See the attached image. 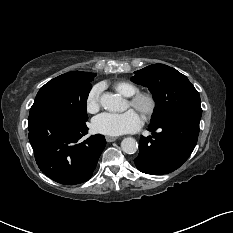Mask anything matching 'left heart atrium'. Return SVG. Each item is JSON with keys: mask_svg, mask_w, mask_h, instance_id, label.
<instances>
[{"mask_svg": "<svg viewBox=\"0 0 233 233\" xmlns=\"http://www.w3.org/2000/svg\"><path fill=\"white\" fill-rule=\"evenodd\" d=\"M142 125L140 116L134 110L124 113H102L92 121V129L100 134L119 136L137 131Z\"/></svg>", "mask_w": 233, "mask_h": 233, "instance_id": "left-heart-atrium-1", "label": "left heart atrium"}]
</instances>
